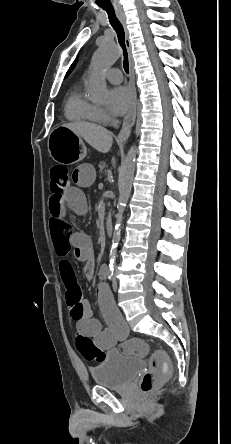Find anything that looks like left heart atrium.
Here are the masks:
<instances>
[{"label":"left heart atrium","mask_w":231,"mask_h":444,"mask_svg":"<svg viewBox=\"0 0 231 444\" xmlns=\"http://www.w3.org/2000/svg\"><path fill=\"white\" fill-rule=\"evenodd\" d=\"M133 104L132 92L124 87L112 88L108 93V108L115 115H123Z\"/></svg>","instance_id":"39dd6f15"}]
</instances>
